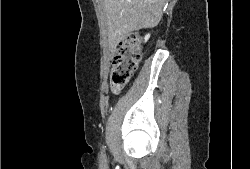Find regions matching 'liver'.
<instances>
[{"label": "liver", "instance_id": "6515ba94", "mask_svg": "<svg viewBox=\"0 0 250 169\" xmlns=\"http://www.w3.org/2000/svg\"><path fill=\"white\" fill-rule=\"evenodd\" d=\"M107 16L110 50L139 28L156 26L162 18L165 0H103Z\"/></svg>", "mask_w": 250, "mask_h": 169}]
</instances>
